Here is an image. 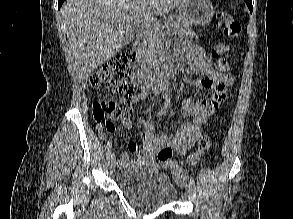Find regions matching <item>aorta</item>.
I'll return each mask as SVG.
<instances>
[{
    "mask_svg": "<svg viewBox=\"0 0 293 219\" xmlns=\"http://www.w3.org/2000/svg\"><path fill=\"white\" fill-rule=\"evenodd\" d=\"M160 82H161L162 90L167 91L168 88H169V84H168V81H167V79L165 78L164 75H161Z\"/></svg>",
    "mask_w": 293,
    "mask_h": 219,
    "instance_id": "762f6f07",
    "label": "aorta"
}]
</instances>
